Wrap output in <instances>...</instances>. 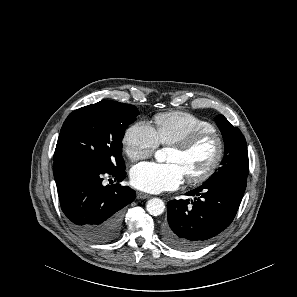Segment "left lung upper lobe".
Listing matches in <instances>:
<instances>
[{"label": "left lung upper lobe", "mask_w": 297, "mask_h": 297, "mask_svg": "<svg viewBox=\"0 0 297 297\" xmlns=\"http://www.w3.org/2000/svg\"><path fill=\"white\" fill-rule=\"evenodd\" d=\"M215 121L224 139L225 153L222 166L208 180L219 178L247 179L249 160L243 134L238 128L233 127L223 115H218Z\"/></svg>", "instance_id": "left-lung-upper-lobe-1"}]
</instances>
